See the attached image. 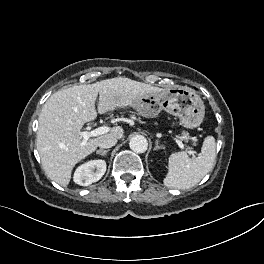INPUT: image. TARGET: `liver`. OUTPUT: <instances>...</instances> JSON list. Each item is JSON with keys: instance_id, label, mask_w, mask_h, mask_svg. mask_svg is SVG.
Wrapping results in <instances>:
<instances>
[{"instance_id": "1", "label": "liver", "mask_w": 264, "mask_h": 264, "mask_svg": "<svg viewBox=\"0 0 264 264\" xmlns=\"http://www.w3.org/2000/svg\"><path fill=\"white\" fill-rule=\"evenodd\" d=\"M165 89L116 77L94 84L75 85L59 90L46 101L39 116L37 150L45 174L63 187L71 180L73 167L93 153L105 136L121 139L122 127L111 129L109 134L89 139L81 146L79 135L83 125L97 116L95 102L99 95L98 112L107 114L132 104L147 94H160Z\"/></svg>"}]
</instances>
